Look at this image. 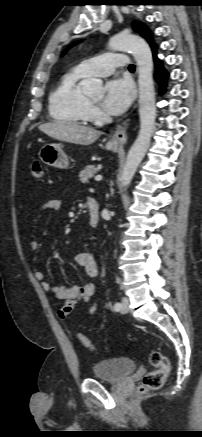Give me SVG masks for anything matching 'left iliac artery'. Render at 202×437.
<instances>
[{
    "mask_svg": "<svg viewBox=\"0 0 202 437\" xmlns=\"http://www.w3.org/2000/svg\"><path fill=\"white\" fill-rule=\"evenodd\" d=\"M121 309V304L119 302L114 304V310L119 311Z\"/></svg>",
    "mask_w": 202,
    "mask_h": 437,
    "instance_id": "obj_1",
    "label": "left iliac artery"
}]
</instances>
